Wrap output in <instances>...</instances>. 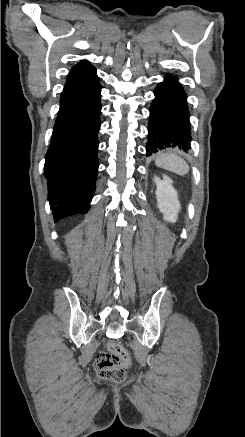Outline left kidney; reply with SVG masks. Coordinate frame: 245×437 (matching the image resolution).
I'll use <instances>...</instances> for the list:
<instances>
[{
  "instance_id": "1",
  "label": "left kidney",
  "mask_w": 245,
  "mask_h": 437,
  "mask_svg": "<svg viewBox=\"0 0 245 437\" xmlns=\"http://www.w3.org/2000/svg\"><path fill=\"white\" fill-rule=\"evenodd\" d=\"M154 182L157 186V207L164 215V220L171 223L176 222L181 206L178 200L177 192L172 186L173 181L168 176L163 175L162 180L155 176Z\"/></svg>"
}]
</instances>
